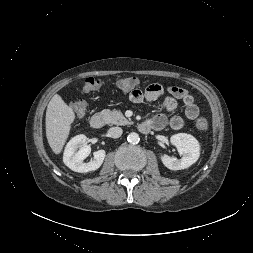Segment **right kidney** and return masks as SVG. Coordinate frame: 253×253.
<instances>
[{"label": "right kidney", "mask_w": 253, "mask_h": 253, "mask_svg": "<svg viewBox=\"0 0 253 253\" xmlns=\"http://www.w3.org/2000/svg\"><path fill=\"white\" fill-rule=\"evenodd\" d=\"M87 137L83 134L73 137L66 145L63 154V162L72 171L79 173H86L97 170L103 163L106 152L105 150H98L94 153V159L85 163L90 152L91 147L86 144Z\"/></svg>", "instance_id": "obj_1"}]
</instances>
